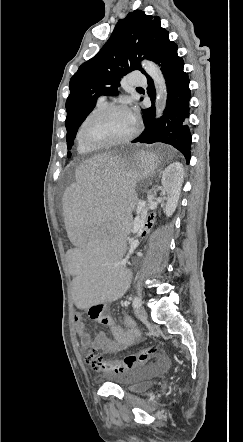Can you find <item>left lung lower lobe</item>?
Segmentation results:
<instances>
[{
	"label": "left lung lower lobe",
	"instance_id": "1",
	"mask_svg": "<svg viewBox=\"0 0 243 442\" xmlns=\"http://www.w3.org/2000/svg\"><path fill=\"white\" fill-rule=\"evenodd\" d=\"M159 64L167 85V104L163 116L155 118V96L153 80L144 73L148 80L147 92L151 98L152 106L142 110L145 130L132 143L163 142L174 146L190 161L191 134L185 124L189 116V78L183 71L184 62L177 55V45L166 37L153 60Z\"/></svg>",
	"mask_w": 243,
	"mask_h": 442
}]
</instances>
